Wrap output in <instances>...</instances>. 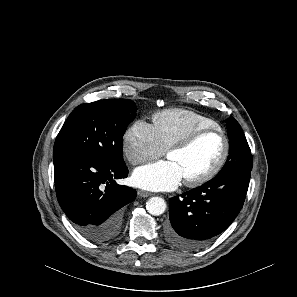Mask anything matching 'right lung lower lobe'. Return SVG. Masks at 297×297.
I'll return each mask as SVG.
<instances>
[{
    "label": "right lung lower lobe",
    "instance_id": "right-lung-lower-lobe-1",
    "mask_svg": "<svg viewBox=\"0 0 297 297\" xmlns=\"http://www.w3.org/2000/svg\"><path fill=\"white\" fill-rule=\"evenodd\" d=\"M58 202L76 230L86 239L104 243L121 227L122 207L136 198V190L118 185L125 164H111L77 153L53 155Z\"/></svg>",
    "mask_w": 297,
    "mask_h": 297
}]
</instances>
